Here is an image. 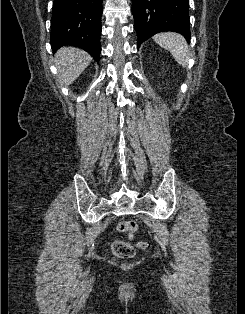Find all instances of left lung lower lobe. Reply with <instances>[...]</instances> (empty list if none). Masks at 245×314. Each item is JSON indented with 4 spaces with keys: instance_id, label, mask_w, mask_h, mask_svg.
Instances as JSON below:
<instances>
[{
    "instance_id": "1",
    "label": "left lung lower lobe",
    "mask_w": 245,
    "mask_h": 314,
    "mask_svg": "<svg viewBox=\"0 0 245 314\" xmlns=\"http://www.w3.org/2000/svg\"><path fill=\"white\" fill-rule=\"evenodd\" d=\"M138 47L156 33L175 31L190 41L189 0H132Z\"/></svg>"
}]
</instances>
